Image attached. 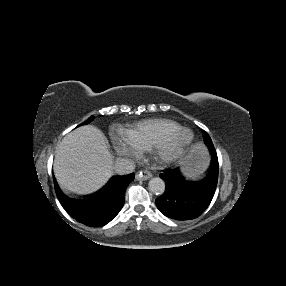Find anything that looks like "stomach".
<instances>
[{
  "instance_id": "stomach-1",
  "label": "stomach",
  "mask_w": 286,
  "mask_h": 286,
  "mask_svg": "<svg viewBox=\"0 0 286 286\" xmlns=\"http://www.w3.org/2000/svg\"><path fill=\"white\" fill-rule=\"evenodd\" d=\"M209 159L206 150L200 146H194L180 161L184 174L188 178L196 179L206 170Z\"/></svg>"
}]
</instances>
